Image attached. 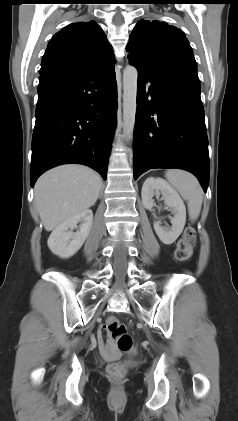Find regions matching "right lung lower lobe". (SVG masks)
I'll return each mask as SVG.
<instances>
[{
    "label": "right lung lower lobe",
    "instance_id": "1",
    "mask_svg": "<svg viewBox=\"0 0 238 421\" xmlns=\"http://www.w3.org/2000/svg\"><path fill=\"white\" fill-rule=\"evenodd\" d=\"M38 85L30 182L66 163L87 165L106 180L117 124V84L108 70L49 72Z\"/></svg>",
    "mask_w": 238,
    "mask_h": 421
}]
</instances>
